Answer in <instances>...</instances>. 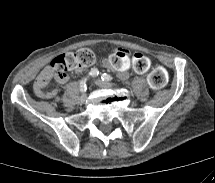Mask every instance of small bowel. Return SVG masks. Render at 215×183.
<instances>
[{"label": "small bowel", "mask_w": 215, "mask_h": 183, "mask_svg": "<svg viewBox=\"0 0 215 183\" xmlns=\"http://www.w3.org/2000/svg\"><path fill=\"white\" fill-rule=\"evenodd\" d=\"M102 65L109 68L111 71L117 72L121 76L127 74L130 77L138 78L144 76L149 70L148 57L139 51H130L123 48L112 52L109 57L102 60ZM48 67L44 68L36 77L33 90L37 97L41 99H52L57 96L56 88H48V84L52 78L45 79V74ZM68 76L56 79L58 83L65 84L68 81Z\"/></svg>", "instance_id": "1"}]
</instances>
